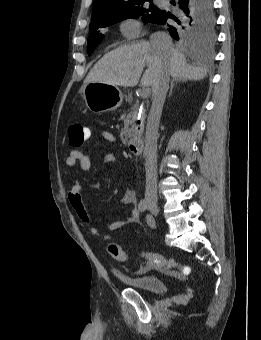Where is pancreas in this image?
Segmentation results:
<instances>
[{
  "label": "pancreas",
  "mask_w": 261,
  "mask_h": 340,
  "mask_svg": "<svg viewBox=\"0 0 261 340\" xmlns=\"http://www.w3.org/2000/svg\"><path fill=\"white\" fill-rule=\"evenodd\" d=\"M137 110L132 108L128 114L122 115V119L124 120V128L121 131L120 138L124 144L128 142L129 139L141 134L143 125H137ZM138 127L141 130H138Z\"/></svg>",
  "instance_id": "pancreas-1"
}]
</instances>
